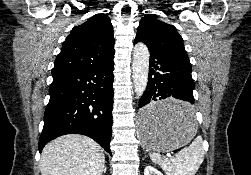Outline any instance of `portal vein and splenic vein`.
<instances>
[{
    "label": "portal vein and splenic vein",
    "mask_w": 251,
    "mask_h": 175,
    "mask_svg": "<svg viewBox=\"0 0 251 175\" xmlns=\"http://www.w3.org/2000/svg\"><path fill=\"white\" fill-rule=\"evenodd\" d=\"M175 155V152L174 151H167L165 154H164V157L165 158H170L171 156H174Z\"/></svg>",
    "instance_id": "portal-vein-and-splenic-vein-1"
}]
</instances>
